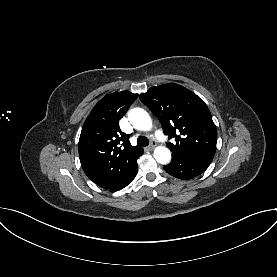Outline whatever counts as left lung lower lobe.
<instances>
[{
  "label": "left lung lower lobe",
  "mask_w": 277,
  "mask_h": 277,
  "mask_svg": "<svg viewBox=\"0 0 277 277\" xmlns=\"http://www.w3.org/2000/svg\"><path fill=\"white\" fill-rule=\"evenodd\" d=\"M212 159L204 156L173 155L171 163L163 168L174 177L188 180L203 173Z\"/></svg>",
  "instance_id": "0a47b994"
}]
</instances>
